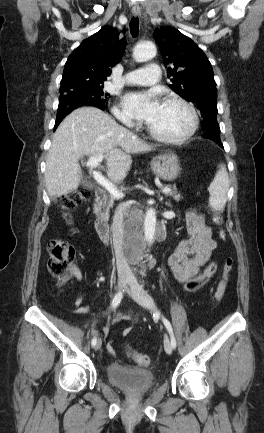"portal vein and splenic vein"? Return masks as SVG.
<instances>
[{
  "mask_svg": "<svg viewBox=\"0 0 264 433\" xmlns=\"http://www.w3.org/2000/svg\"><path fill=\"white\" fill-rule=\"evenodd\" d=\"M103 154H99L94 157H90L86 165L89 167L90 171L92 172L94 180L104 187L114 198L116 199H122L124 197V194L119 191L110 181H108L106 178H104L100 172L95 170V168L103 161ZM161 192L164 194H167L171 192V188L165 187L161 189Z\"/></svg>",
  "mask_w": 264,
  "mask_h": 433,
  "instance_id": "1",
  "label": "portal vein and splenic vein"
}]
</instances>
